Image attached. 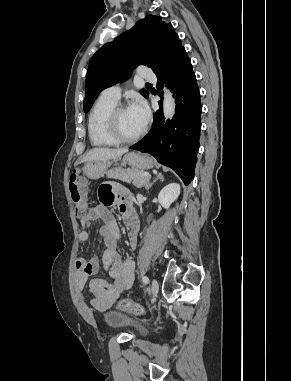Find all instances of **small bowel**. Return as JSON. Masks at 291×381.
Wrapping results in <instances>:
<instances>
[{"label": "small bowel", "instance_id": "1", "mask_svg": "<svg viewBox=\"0 0 291 381\" xmlns=\"http://www.w3.org/2000/svg\"><path fill=\"white\" fill-rule=\"evenodd\" d=\"M99 195L107 196L108 201L101 202L90 208L81 217L82 229L79 232L78 239L81 243H88L90 241L87 230L89 224L95 220L101 221L99 232L106 245L102 257V265L108 271L111 281L104 278H92L89 280L91 275L98 272L99 261L96 258L86 259L80 257L75 263L77 269L75 285L77 290L81 292L88 282L89 293L93 296L90 302L92 307L98 311H104L115 302L124 290L132 286L134 279V262L131 259H122L118 252L117 241L120 237V232L108 206L115 201L118 203V209L126 226L132 248L137 246L139 222L132 210L130 197L127 192L111 187H103L100 189Z\"/></svg>", "mask_w": 291, "mask_h": 381}]
</instances>
